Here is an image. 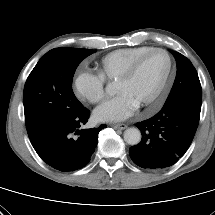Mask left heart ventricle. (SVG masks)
<instances>
[{
	"label": "left heart ventricle",
	"instance_id": "left-heart-ventricle-1",
	"mask_svg": "<svg viewBox=\"0 0 215 215\" xmlns=\"http://www.w3.org/2000/svg\"><path fill=\"white\" fill-rule=\"evenodd\" d=\"M167 68L168 59L165 54L153 53L142 61L132 78L116 83V92L126 93L140 106L158 89Z\"/></svg>",
	"mask_w": 215,
	"mask_h": 215
}]
</instances>
